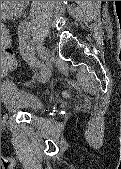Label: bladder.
<instances>
[{"label":"bladder","mask_w":121,"mask_h":169,"mask_svg":"<svg viewBox=\"0 0 121 169\" xmlns=\"http://www.w3.org/2000/svg\"><path fill=\"white\" fill-rule=\"evenodd\" d=\"M1 102L9 112L34 114L44 107V103L38 97L9 81L1 85Z\"/></svg>","instance_id":"1"}]
</instances>
